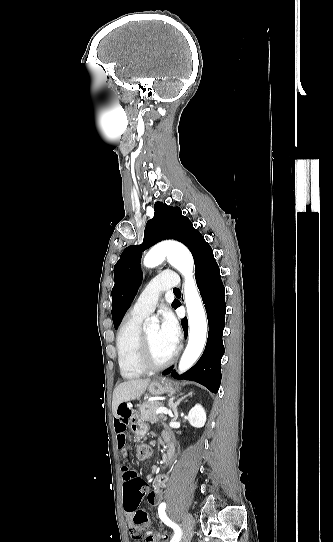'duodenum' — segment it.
<instances>
[{"label": "duodenum", "instance_id": "410a0bca", "mask_svg": "<svg viewBox=\"0 0 333 542\" xmlns=\"http://www.w3.org/2000/svg\"><path fill=\"white\" fill-rule=\"evenodd\" d=\"M163 440L165 442L166 448H167V455L170 456L173 452V439L170 434H164Z\"/></svg>", "mask_w": 333, "mask_h": 542}]
</instances>
